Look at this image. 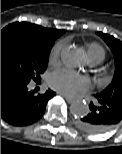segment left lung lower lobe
Returning a JSON list of instances; mask_svg holds the SVG:
<instances>
[{
	"mask_svg": "<svg viewBox=\"0 0 122 154\" xmlns=\"http://www.w3.org/2000/svg\"><path fill=\"white\" fill-rule=\"evenodd\" d=\"M96 100L89 105V113L82 116L76 125L88 133H103L122 120V100L103 92L95 95Z\"/></svg>",
	"mask_w": 122,
	"mask_h": 154,
	"instance_id": "obj_1",
	"label": "left lung lower lobe"
}]
</instances>
